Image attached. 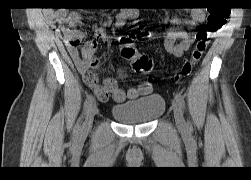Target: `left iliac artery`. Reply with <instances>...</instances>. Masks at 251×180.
Instances as JSON below:
<instances>
[{
  "label": "left iliac artery",
  "mask_w": 251,
  "mask_h": 180,
  "mask_svg": "<svg viewBox=\"0 0 251 180\" xmlns=\"http://www.w3.org/2000/svg\"><path fill=\"white\" fill-rule=\"evenodd\" d=\"M175 100L178 103V105L180 106L181 109L185 110V101H184V97L180 94L177 93L175 95Z\"/></svg>",
  "instance_id": "left-iliac-artery-1"
}]
</instances>
